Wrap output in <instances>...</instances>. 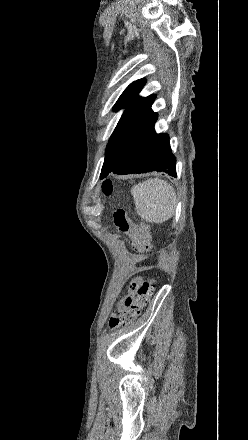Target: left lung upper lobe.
Here are the masks:
<instances>
[{
    "instance_id": "5c2ea615",
    "label": "left lung upper lobe",
    "mask_w": 248,
    "mask_h": 440,
    "mask_svg": "<svg viewBox=\"0 0 248 440\" xmlns=\"http://www.w3.org/2000/svg\"><path fill=\"white\" fill-rule=\"evenodd\" d=\"M145 82V79H139L131 83L113 107L116 111L125 110L107 145L101 179L114 170L131 148L155 132L158 116L151 106L156 95L138 97Z\"/></svg>"
}]
</instances>
